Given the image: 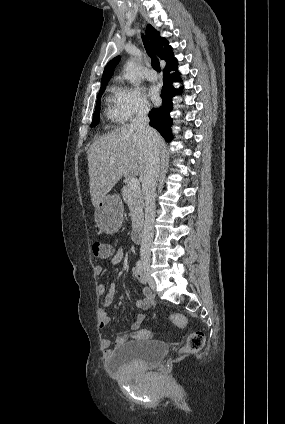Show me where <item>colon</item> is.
<instances>
[{"label":"colon","mask_w":285,"mask_h":424,"mask_svg":"<svg viewBox=\"0 0 285 424\" xmlns=\"http://www.w3.org/2000/svg\"><path fill=\"white\" fill-rule=\"evenodd\" d=\"M93 254L100 259H107L113 255V248L110 244L103 241H96L92 245ZM170 322L178 328H183L186 324V319L179 313H173L170 315ZM152 333L149 330H144L142 338L151 336ZM205 343V337L202 332H193L189 335L187 342L183 348L185 353H196L200 351Z\"/></svg>","instance_id":"obj_1"}]
</instances>
